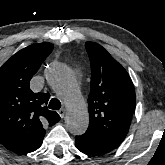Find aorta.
Here are the masks:
<instances>
[{"label":"aorta","mask_w":165,"mask_h":165,"mask_svg":"<svg viewBox=\"0 0 165 165\" xmlns=\"http://www.w3.org/2000/svg\"><path fill=\"white\" fill-rule=\"evenodd\" d=\"M47 81L61 95L67 108L66 128L74 135L83 134L89 124V114L85 100L62 64H53L46 71Z\"/></svg>","instance_id":"aorta-1"}]
</instances>
